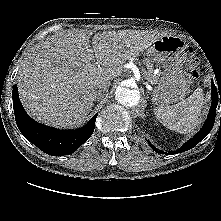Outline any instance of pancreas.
Returning <instances> with one entry per match:
<instances>
[{
	"mask_svg": "<svg viewBox=\"0 0 221 221\" xmlns=\"http://www.w3.org/2000/svg\"><path fill=\"white\" fill-rule=\"evenodd\" d=\"M146 79L150 81L151 83H156L157 82V75L153 74V68L151 65L148 66L147 71H143Z\"/></svg>",
	"mask_w": 221,
	"mask_h": 221,
	"instance_id": "obj_1",
	"label": "pancreas"
}]
</instances>
